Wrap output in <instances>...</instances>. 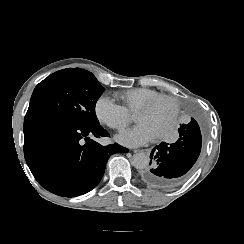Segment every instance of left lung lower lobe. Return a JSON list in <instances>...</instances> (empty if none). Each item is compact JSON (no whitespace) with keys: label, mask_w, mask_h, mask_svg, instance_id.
Wrapping results in <instances>:
<instances>
[{"label":"left lung lower lobe","mask_w":244,"mask_h":244,"mask_svg":"<svg viewBox=\"0 0 244 244\" xmlns=\"http://www.w3.org/2000/svg\"><path fill=\"white\" fill-rule=\"evenodd\" d=\"M179 139L173 143L165 142L155 146L150 154L156 164L140 172L143 183L162 190H169L180 185L197 161L202 144L198 122L191 118L188 124H182Z\"/></svg>","instance_id":"obj_1"}]
</instances>
